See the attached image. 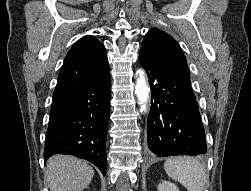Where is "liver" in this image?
Segmentation results:
<instances>
[{
  "instance_id": "obj_1",
  "label": "liver",
  "mask_w": 251,
  "mask_h": 191,
  "mask_svg": "<svg viewBox=\"0 0 251 191\" xmlns=\"http://www.w3.org/2000/svg\"><path fill=\"white\" fill-rule=\"evenodd\" d=\"M46 169L50 191H82L94 175L91 165L73 155H52Z\"/></svg>"
}]
</instances>
